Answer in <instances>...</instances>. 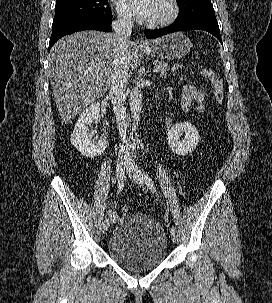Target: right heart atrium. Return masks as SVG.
Here are the masks:
<instances>
[{
    "label": "right heart atrium",
    "instance_id": "1",
    "mask_svg": "<svg viewBox=\"0 0 272 303\" xmlns=\"http://www.w3.org/2000/svg\"><path fill=\"white\" fill-rule=\"evenodd\" d=\"M115 3L119 20L123 23L131 22V16L122 8L121 3L118 0Z\"/></svg>",
    "mask_w": 272,
    "mask_h": 303
}]
</instances>
